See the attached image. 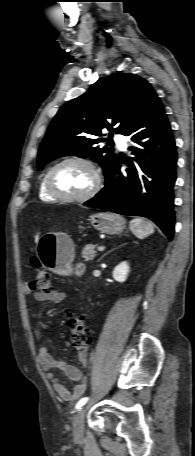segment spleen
I'll list each match as a JSON object with an SVG mask.
<instances>
[{"mask_svg":"<svg viewBox=\"0 0 195 456\" xmlns=\"http://www.w3.org/2000/svg\"><path fill=\"white\" fill-rule=\"evenodd\" d=\"M132 233L139 239H143L154 233V224L142 218H134L129 224Z\"/></svg>","mask_w":195,"mask_h":456,"instance_id":"spleen-1","label":"spleen"}]
</instances>
